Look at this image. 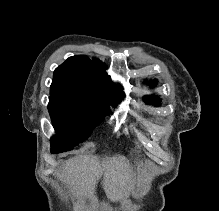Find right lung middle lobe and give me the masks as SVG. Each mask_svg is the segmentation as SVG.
<instances>
[{
  "label": "right lung middle lobe",
  "instance_id": "obj_1",
  "mask_svg": "<svg viewBox=\"0 0 219 211\" xmlns=\"http://www.w3.org/2000/svg\"><path fill=\"white\" fill-rule=\"evenodd\" d=\"M48 110L57 133L51 140L52 153L71 150L72 147L86 140L92 130L111 113L109 105L61 99H50Z\"/></svg>",
  "mask_w": 219,
  "mask_h": 211
}]
</instances>
